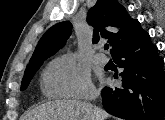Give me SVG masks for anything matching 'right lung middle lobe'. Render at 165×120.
<instances>
[{
  "label": "right lung middle lobe",
  "instance_id": "dd1d6c3e",
  "mask_svg": "<svg viewBox=\"0 0 165 120\" xmlns=\"http://www.w3.org/2000/svg\"><path fill=\"white\" fill-rule=\"evenodd\" d=\"M43 60L37 61L29 66H27L24 77L21 83V90H25L27 86L29 85L31 79L33 78L34 74L37 72V70L40 68V66L43 64Z\"/></svg>",
  "mask_w": 165,
  "mask_h": 120
}]
</instances>
